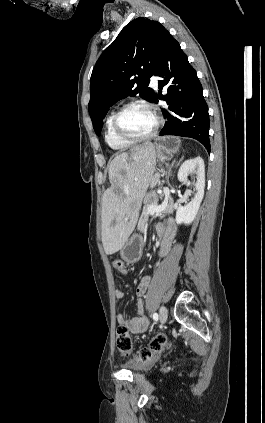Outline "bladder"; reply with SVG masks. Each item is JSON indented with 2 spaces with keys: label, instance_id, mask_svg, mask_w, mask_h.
<instances>
[{
  "label": "bladder",
  "instance_id": "bladder-1",
  "mask_svg": "<svg viewBox=\"0 0 265 423\" xmlns=\"http://www.w3.org/2000/svg\"><path fill=\"white\" fill-rule=\"evenodd\" d=\"M146 368V366H142V367H139V368H135L134 370L135 371H139V370H143V369H145Z\"/></svg>",
  "mask_w": 265,
  "mask_h": 423
}]
</instances>
